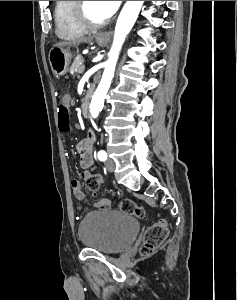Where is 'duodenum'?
Returning a JSON list of instances; mask_svg holds the SVG:
<instances>
[{"label":"duodenum","mask_w":237,"mask_h":300,"mask_svg":"<svg viewBox=\"0 0 237 300\" xmlns=\"http://www.w3.org/2000/svg\"><path fill=\"white\" fill-rule=\"evenodd\" d=\"M89 109V95L87 94L81 101L80 110L83 116L88 114Z\"/></svg>","instance_id":"duodenum-1"}]
</instances>
